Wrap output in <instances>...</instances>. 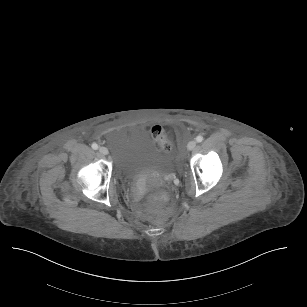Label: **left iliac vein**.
I'll use <instances>...</instances> for the list:
<instances>
[{"label": "left iliac vein", "instance_id": "4c4485c4", "mask_svg": "<svg viewBox=\"0 0 307 307\" xmlns=\"http://www.w3.org/2000/svg\"><path fill=\"white\" fill-rule=\"evenodd\" d=\"M195 146H196V141L191 140V141L188 143V145H187V149H188V150H192V149L195 148Z\"/></svg>", "mask_w": 307, "mask_h": 307}]
</instances>
